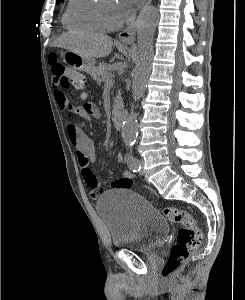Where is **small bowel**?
I'll return each instance as SVG.
<instances>
[{
    "label": "small bowel",
    "mask_w": 245,
    "mask_h": 300,
    "mask_svg": "<svg viewBox=\"0 0 245 300\" xmlns=\"http://www.w3.org/2000/svg\"><path fill=\"white\" fill-rule=\"evenodd\" d=\"M53 88L56 104L61 110L75 112L86 122H91L92 119L100 117V111L93 103L86 102L77 108L71 106L62 90L63 87L55 77L53 78ZM67 135L71 144L76 149L77 162L81 168L83 179L90 190V195L92 198L97 199L103 194L104 189L100 187L97 177L92 169V165L96 161L94 143L81 127L75 123H69L67 125ZM122 160V154L118 153L116 155V161L120 163ZM132 186L133 175L129 171H124L120 177L114 179L111 183L112 189H130Z\"/></svg>",
    "instance_id": "c3829d8e"
}]
</instances>
